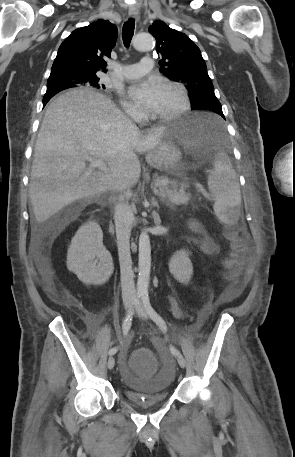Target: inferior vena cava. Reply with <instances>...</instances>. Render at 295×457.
Instances as JSON below:
<instances>
[{"mask_svg":"<svg viewBox=\"0 0 295 457\" xmlns=\"http://www.w3.org/2000/svg\"><path fill=\"white\" fill-rule=\"evenodd\" d=\"M131 219L132 212L128 203L118 202L115 205L114 220L120 262L122 297L134 299L136 293L129 243L131 235Z\"/></svg>","mask_w":295,"mask_h":457,"instance_id":"obj_1","label":"inferior vena cava"}]
</instances>
